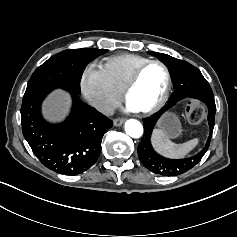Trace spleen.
<instances>
[{
    "label": "spleen",
    "mask_w": 237,
    "mask_h": 237,
    "mask_svg": "<svg viewBox=\"0 0 237 237\" xmlns=\"http://www.w3.org/2000/svg\"><path fill=\"white\" fill-rule=\"evenodd\" d=\"M151 142L159 154L168 158L179 159L185 157L197 146L198 139L194 138L185 143L176 144L169 139L164 131L155 129L152 134Z\"/></svg>",
    "instance_id": "spleen-1"
}]
</instances>
